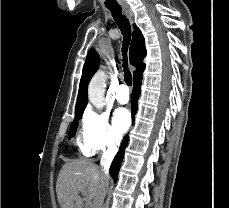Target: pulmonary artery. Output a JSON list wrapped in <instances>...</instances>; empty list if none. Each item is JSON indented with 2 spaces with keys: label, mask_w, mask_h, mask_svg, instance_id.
Returning <instances> with one entry per match:
<instances>
[{
  "label": "pulmonary artery",
  "mask_w": 229,
  "mask_h": 208,
  "mask_svg": "<svg viewBox=\"0 0 229 208\" xmlns=\"http://www.w3.org/2000/svg\"><path fill=\"white\" fill-rule=\"evenodd\" d=\"M116 96H117V99L121 103L128 102V100L130 98V90H129L128 86H126L125 84H121L117 89Z\"/></svg>",
  "instance_id": "pulmonary-artery-1"
}]
</instances>
